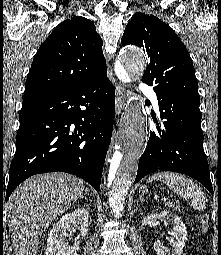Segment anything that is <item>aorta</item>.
<instances>
[{"label": "aorta", "mask_w": 221, "mask_h": 255, "mask_svg": "<svg viewBox=\"0 0 221 255\" xmlns=\"http://www.w3.org/2000/svg\"><path fill=\"white\" fill-rule=\"evenodd\" d=\"M124 69L118 73L122 80L139 79L146 67L145 54L137 47L129 46L121 52ZM148 137L147 118L141 98L132 99L125 115V129L121 145L116 149L109 168L107 187L109 204L116 218L121 216L129 188L138 168V160L146 148Z\"/></svg>", "instance_id": "762f6f07"}]
</instances>
